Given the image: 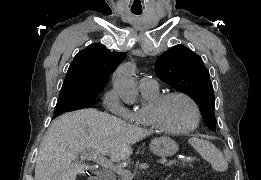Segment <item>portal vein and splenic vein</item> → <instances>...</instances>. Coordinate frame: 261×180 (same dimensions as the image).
<instances>
[{"label": "portal vein and splenic vein", "mask_w": 261, "mask_h": 180, "mask_svg": "<svg viewBox=\"0 0 261 180\" xmlns=\"http://www.w3.org/2000/svg\"><path fill=\"white\" fill-rule=\"evenodd\" d=\"M86 154L87 156H90V160H93V162H100V164H111L109 166V170H113L115 174H119L121 180H133L134 176H137V173L131 174L129 170H124V168H117V166H114L112 162H109L107 158H101V156H97L95 152H92V150H89V148H86ZM180 159L179 158H171L170 161H166V166L168 167H173L174 164L179 163ZM166 166H161V169H166Z\"/></svg>", "instance_id": "1"}]
</instances>
